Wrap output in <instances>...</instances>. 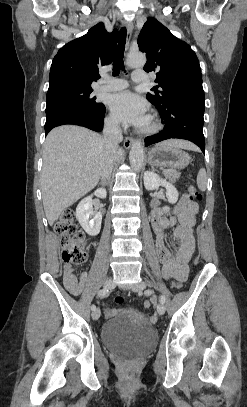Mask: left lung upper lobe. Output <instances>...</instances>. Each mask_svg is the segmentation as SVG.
<instances>
[{"instance_id": "5c2ea615", "label": "left lung upper lobe", "mask_w": 247, "mask_h": 407, "mask_svg": "<svg viewBox=\"0 0 247 407\" xmlns=\"http://www.w3.org/2000/svg\"><path fill=\"white\" fill-rule=\"evenodd\" d=\"M139 50L146 53V72L157 71L159 85L146 98L165 111L172 102L190 100L204 103L199 61L184 41L175 37L155 18H148L138 37ZM161 88L158 90V88Z\"/></svg>"}]
</instances>
